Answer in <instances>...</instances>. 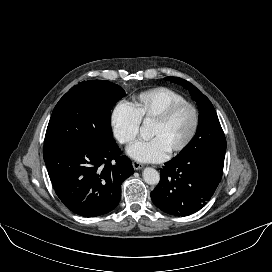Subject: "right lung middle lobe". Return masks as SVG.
<instances>
[{"label": "right lung middle lobe", "instance_id": "1", "mask_svg": "<svg viewBox=\"0 0 272 272\" xmlns=\"http://www.w3.org/2000/svg\"><path fill=\"white\" fill-rule=\"evenodd\" d=\"M124 96L122 87L104 80L83 81L72 87L52 112L43 153L70 142L98 146L113 142L110 111Z\"/></svg>", "mask_w": 272, "mask_h": 272}]
</instances>
